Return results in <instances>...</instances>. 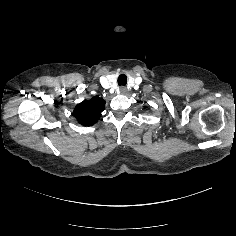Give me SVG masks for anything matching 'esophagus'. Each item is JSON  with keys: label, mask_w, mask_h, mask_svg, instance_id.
<instances>
[{"label": "esophagus", "mask_w": 236, "mask_h": 236, "mask_svg": "<svg viewBox=\"0 0 236 236\" xmlns=\"http://www.w3.org/2000/svg\"><path fill=\"white\" fill-rule=\"evenodd\" d=\"M119 90H120V93H121V94H126L127 91H128L125 86H121Z\"/></svg>", "instance_id": "obj_1"}]
</instances>
